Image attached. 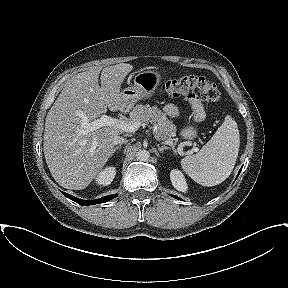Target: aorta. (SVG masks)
<instances>
[{
    "label": "aorta",
    "mask_w": 288,
    "mask_h": 288,
    "mask_svg": "<svg viewBox=\"0 0 288 288\" xmlns=\"http://www.w3.org/2000/svg\"><path fill=\"white\" fill-rule=\"evenodd\" d=\"M150 153L145 149H140L136 153V159L142 162H145L149 159Z\"/></svg>",
    "instance_id": "762f6f07"
}]
</instances>
